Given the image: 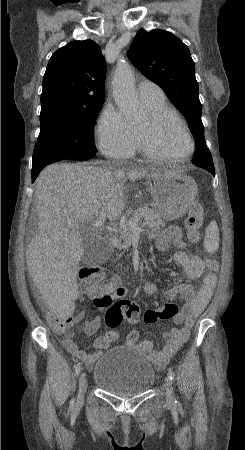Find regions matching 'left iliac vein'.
Segmentation results:
<instances>
[{"instance_id": "4c4485c4", "label": "left iliac vein", "mask_w": 245, "mask_h": 450, "mask_svg": "<svg viewBox=\"0 0 245 450\" xmlns=\"http://www.w3.org/2000/svg\"><path fill=\"white\" fill-rule=\"evenodd\" d=\"M165 391H166V398H167L168 403H172L174 400V394H173L172 381H171L170 377L166 378Z\"/></svg>"}]
</instances>
